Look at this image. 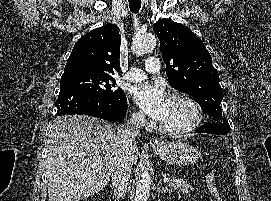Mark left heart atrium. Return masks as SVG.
Instances as JSON below:
<instances>
[{"mask_svg":"<svg viewBox=\"0 0 271 201\" xmlns=\"http://www.w3.org/2000/svg\"><path fill=\"white\" fill-rule=\"evenodd\" d=\"M132 95L136 104L150 117L161 121L166 116L169 99L160 85L148 83L134 87Z\"/></svg>","mask_w":271,"mask_h":201,"instance_id":"39dd6f15","label":"left heart atrium"}]
</instances>
